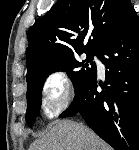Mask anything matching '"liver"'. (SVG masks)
<instances>
[{"label": "liver", "mask_w": 139, "mask_h": 150, "mask_svg": "<svg viewBox=\"0 0 139 150\" xmlns=\"http://www.w3.org/2000/svg\"><path fill=\"white\" fill-rule=\"evenodd\" d=\"M30 150H111L92 130L71 120L57 121Z\"/></svg>", "instance_id": "1"}]
</instances>
